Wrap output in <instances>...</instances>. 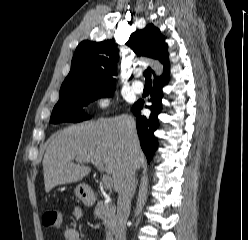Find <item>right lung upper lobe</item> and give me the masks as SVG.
I'll use <instances>...</instances> for the list:
<instances>
[{"label":"right lung upper lobe","instance_id":"cb5924a9","mask_svg":"<svg viewBox=\"0 0 248 240\" xmlns=\"http://www.w3.org/2000/svg\"><path fill=\"white\" fill-rule=\"evenodd\" d=\"M127 44L138 56H147L163 64V74H169V59L165 37L153 24L130 36ZM117 46L113 40L102 42L82 41L76 48L71 70L65 78L60 92L72 88L115 89L117 75ZM154 80L159 78L155 76Z\"/></svg>","mask_w":248,"mask_h":240}]
</instances>
